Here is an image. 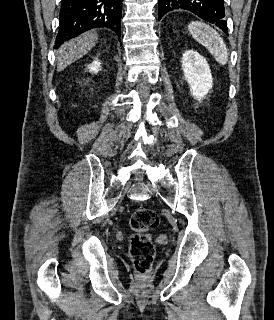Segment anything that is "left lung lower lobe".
Listing matches in <instances>:
<instances>
[{
    "label": "left lung lower lobe",
    "instance_id": "1",
    "mask_svg": "<svg viewBox=\"0 0 274 320\" xmlns=\"http://www.w3.org/2000/svg\"><path fill=\"white\" fill-rule=\"evenodd\" d=\"M174 9H185L202 19L214 23L227 35L224 0H159L158 19Z\"/></svg>",
    "mask_w": 274,
    "mask_h": 320
}]
</instances>
